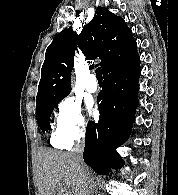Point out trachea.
I'll list each match as a JSON object with an SVG mask.
<instances>
[{
  "instance_id": "1",
  "label": "trachea",
  "mask_w": 178,
  "mask_h": 195,
  "mask_svg": "<svg viewBox=\"0 0 178 195\" xmlns=\"http://www.w3.org/2000/svg\"><path fill=\"white\" fill-rule=\"evenodd\" d=\"M95 72H96V78H97L98 82H102V70H101V68L100 67L97 68Z\"/></svg>"
}]
</instances>
